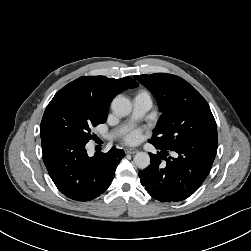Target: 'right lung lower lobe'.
<instances>
[{"mask_svg": "<svg viewBox=\"0 0 251 251\" xmlns=\"http://www.w3.org/2000/svg\"><path fill=\"white\" fill-rule=\"evenodd\" d=\"M43 160L58 190L77 201H89L111 184L115 170L124 157L113 147L108 153L87 155L85 143L61 136L41 138Z\"/></svg>", "mask_w": 251, "mask_h": 251, "instance_id": "right-lung-lower-lobe-1", "label": "right lung lower lobe"}]
</instances>
